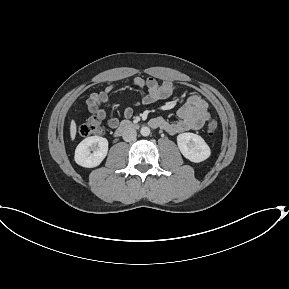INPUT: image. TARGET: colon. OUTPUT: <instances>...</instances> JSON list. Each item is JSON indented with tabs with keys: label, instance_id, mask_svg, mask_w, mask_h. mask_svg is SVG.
Listing matches in <instances>:
<instances>
[{
	"label": "colon",
	"instance_id": "colon-1",
	"mask_svg": "<svg viewBox=\"0 0 289 289\" xmlns=\"http://www.w3.org/2000/svg\"><path fill=\"white\" fill-rule=\"evenodd\" d=\"M217 128H218L217 120L214 118L209 119L207 124H206L207 134L209 136L214 135ZM79 133L84 137L101 135L103 133V127H102V124L100 122V119H98L96 116H92V117L88 118L79 127Z\"/></svg>",
	"mask_w": 289,
	"mask_h": 289
}]
</instances>
